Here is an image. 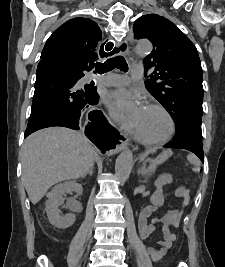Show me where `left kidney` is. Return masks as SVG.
Segmentation results:
<instances>
[{
  "mask_svg": "<svg viewBox=\"0 0 225 267\" xmlns=\"http://www.w3.org/2000/svg\"><path fill=\"white\" fill-rule=\"evenodd\" d=\"M172 182V176L169 174H162L155 181V186L157 190L151 196L150 201L155 206H163L164 204V196L162 187L166 184H170Z\"/></svg>",
  "mask_w": 225,
  "mask_h": 267,
  "instance_id": "obj_1",
  "label": "left kidney"
}]
</instances>
